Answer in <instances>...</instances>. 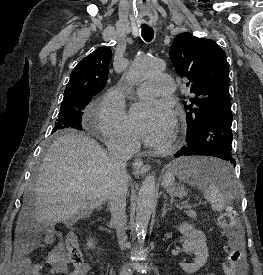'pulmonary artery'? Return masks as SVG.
<instances>
[{"label": "pulmonary artery", "mask_w": 263, "mask_h": 275, "mask_svg": "<svg viewBox=\"0 0 263 275\" xmlns=\"http://www.w3.org/2000/svg\"><path fill=\"white\" fill-rule=\"evenodd\" d=\"M174 91L175 83L171 77L157 75L141 83L136 89V94L143 99H152L158 96L171 95Z\"/></svg>", "instance_id": "obj_1"}]
</instances>
